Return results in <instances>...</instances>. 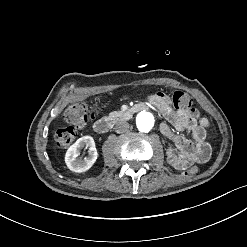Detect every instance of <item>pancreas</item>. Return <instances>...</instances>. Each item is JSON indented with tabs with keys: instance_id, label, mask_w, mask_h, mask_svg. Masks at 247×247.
<instances>
[{
	"instance_id": "obj_1",
	"label": "pancreas",
	"mask_w": 247,
	"mask_h": 247,
	"mask_svg": "<svg viewBox=\"0 0 247 247\" xmlns=\"http://www.w3.org/2000/svg\"><path fill=\"white\" fill-rule=\"evenodd\" d=\"M120 115H122V112L114 111V112H111L109 114L108 119L109 120H116Z\"/></svg>"
}]
</instances>
